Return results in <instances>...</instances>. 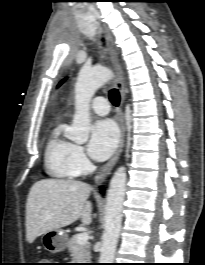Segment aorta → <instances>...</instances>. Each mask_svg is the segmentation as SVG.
<instances>
[{
  "instance_id": "1",
  "label": "aorta",
  "mask_w": 205,
  "mask_h": 265,
  "mask_svg": "<svg viewBox=\"0 0 205 265\" xmlns=\"http://www.w3.org/2000/svg\"><path fill=\"white\" fill-rule=\"evenodd\" d=\"M112 71L103 66L82 68L75 85V114L67 137L77 143L88 140L90 129L89 103L95 92L112 78ZM126 168L114 173L107 192L105 224L99 263H113L120 235L123 202L126 191Z\"/></svg>"
}]
</instances>
